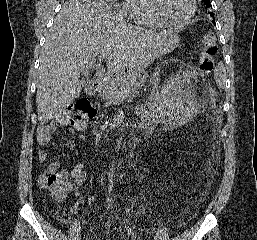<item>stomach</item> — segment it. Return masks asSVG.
I'll return each mask as SVG.
<instances>
[{
  "label": "stomach",
  "instance_id": "0dacf381",
  "mask_svg": "<svg viewBox=\"0 0 257 240\" xmlns=\"http://www.w3.org/2000/svg\"><path fill=\"white\" fill-rule=\"evenodd\" d=\"M179 41L180 38L176 33L167 31L156 45L150 48L133 66L129 67L128 72L143 70L156 59L173 51L179 45Z\"/></svg>",
  "mask_w": 257,
  "mask_h": 240
}]
</instances>
